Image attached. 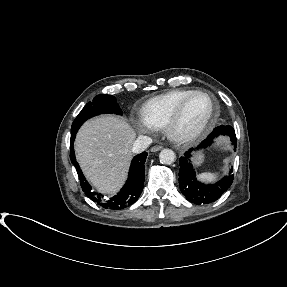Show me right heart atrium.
Listing matches in <instances>:
<instances>
[{"mask_svg":"<svg viewBox=\"0 0 287 287\" xmlns=\"http://www.w3.org/2000/svg\"><path fill=\"white\" fill-rule=\"evenodd\" d=\"M137 124L139 129L146 134H151L156 130V127H154L148 121L144 120L142 117L137 120Z\"/></svg>","mask_w":287,"mask_h":287,"instance_id":"1","label":"right heart atrium"}]
</instances>
